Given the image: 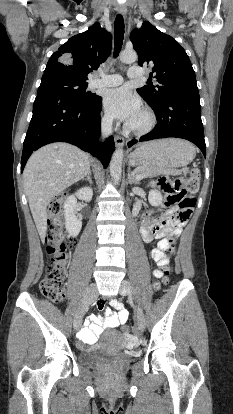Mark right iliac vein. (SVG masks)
<instances>
[{
    "label": "right iliac vein",
    "mask_w": 233,
    "mask_h": 414,
    "mask_svg": "<svg viewBox=\"0 0 233 414\" xmlns=\"http://www.w3.org/2000/svg\"><path fill=\"white\" fill-rule=\"evenodd\" d=\"M97 297V288L95 284H91L87 287L82 299V303L79 306L74 316V328L77 330L81 326L84 313L88 307Z\"/></svg>",
    "instance_id": "obj_1"
}]
</instances>
